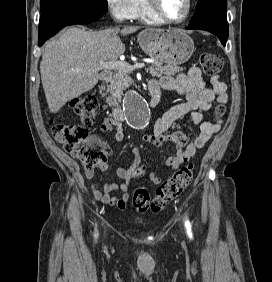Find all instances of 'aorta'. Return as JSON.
<instances>
[{
    "instance_id": "aorta-1",
    "label": "aorta",
    "mask_w": 272,
    "mask_h": 282,
    "mask_svg": "<svg viewBox=\"0 0 272 282\" xmlns=\"http://www.w3.org/2000/svg\"><path fill=\"white\" fill-rule=\"evenodd\" d=\"M127 121L137 129H144L150 120V109L147 102L137 91H130L125 99Z\"/></svg>"
}]
</instances>
